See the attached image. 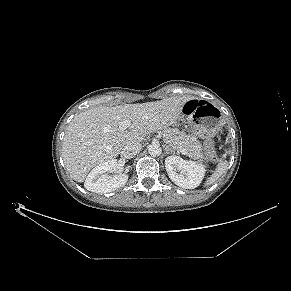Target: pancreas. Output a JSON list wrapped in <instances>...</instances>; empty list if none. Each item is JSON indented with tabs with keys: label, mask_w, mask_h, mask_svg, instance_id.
I'll return each mask as SVG.
<instances>
[{
	"label": "pancreas",
	"mask_w": 291,
	"mask_h": 291,
	"mask_svg": "<svg viewBox=\"0 0 291 291\" xmlns=\"http://www.w3.org/2000/svg\"><path fill=\"white\" fill-rule=\"evenodd\" d=\"M162 135L164 142L174 150L179 151L181 148H184L190 158L208 162V158L202 152L203 147L195 136L171 128L163 129Z\"/></svg>",
	"instance_id": "cf45deb5"
}]
</instances>
